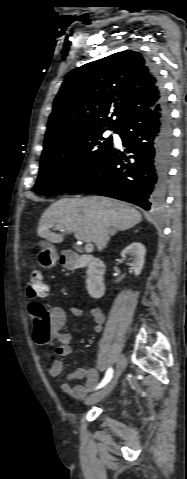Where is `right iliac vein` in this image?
<instances>
[{"label": "right iliac vein", "mask_w": 187, "mask_h": 479, "mask_svg": "<svg viewBox=\"0 0 187 479\" xmlns=\"http://www.w3.org/2000/svg\"><path fill=\"white\" fill-rule=\"evenodd\" d=\"M125 366H126V359L123 355H121L117 360L116 371H115V376L113 380L102 390L90 395L86 399V404L97 403L98 401L104 399L107 395H109L113 391V389L116 387L118 379L123 373Z\"/></svg>", "instance_id": "1"}]
</instances>
